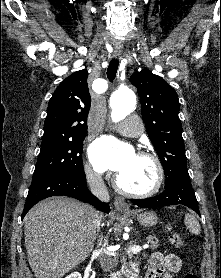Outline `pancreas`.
I'll list each match as a JSON object with an SVG mask.
<instances>
[{"instance_id": "pancreas-1", "label": "pancreas", "mask_w": 221, "mask_h": 278, "mask_svg": "<svg viewBox=\"0 0 221 278\" xmlns=\"http://www.w3.org/2000/svg\"><path fill=\"white\" fill-rule=\"evenodd\" d=\"M147 240V243L149 244V247L152 249V250H155L157 249L158 245H159V241L158 239L155 237V236H148L146 238Z\"/></svg>"}]
</instances>
